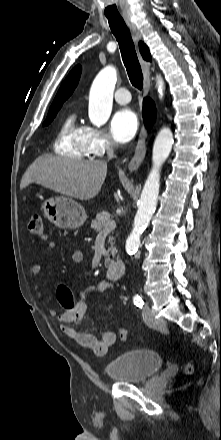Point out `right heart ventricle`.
I'll return each mask as SVG.
<instances>
[{
    "label": "right heart ventricle",
    "mask_w": 221,
    "mask_h": 440,
    "mask_svg": "<svg viewBox=\"0 0 221 440\" xmlns=\"http://www.w3.org/2000/svg\"><path fill=\"white\" fill-rule=\"evenodd\" d=\"M54 151L62 156L73 159H86L91 153L86 141V127L77 123L76 114L69 113L61 122L56 139Z\"/></svg>",
    "instance_id": "right-heart-ventricle-1"
}]
</instances>
